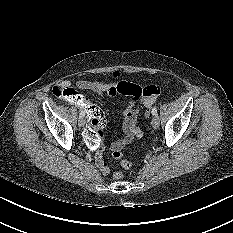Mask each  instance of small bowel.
<instances>
[{
  "instance_id": "obj_1",
  "label": "small bowel",
  "mask_w": 233,
  "mask_h": 233,
  "mask_svg": "<svg viewBox=\"0 0 233 233\" xmlns=\"http://www.w3.org/2000/svg\"><path fill=\"white\" fill-rule=\"evenodd\" d=\"M118 73H113L111 79L106 80H80L77 82V88L81 91L96 93L99 95L116 96L118 94L129 97L128 103L122 112L123 116V136L111 144L112 152L121 151L126 145L132 142L134 138H140L143 135L142 130L137 124L138 108L141 102L145 107H149L156 102L157 95L147 96L144 90L147 87L140 86L128 81H116ZM61 88H71L70 81H62L58 85ZM68 101L69 99L66 98ZM104 146L101 144L95 155L96 165L103 175L110 173V167L103 159Z\"/></svg>"
}]
</instances>
